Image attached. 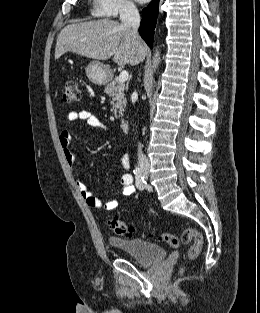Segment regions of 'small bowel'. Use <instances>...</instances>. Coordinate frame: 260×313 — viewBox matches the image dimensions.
Wrapping results in <instances>:
<instances>
[{"mask_svg": "<svg viewBox=\"0 0 260 313\" xmlns=\"http://www.w3.org/2000/svg\"><path fill=\"white\" fill-rule=\"evenodd\" d=\"M69 121L81 120L85 121L89 126L107 131L108 128L101 122V120L90 113L87 110L72 111L68 115ZM72 140V131L64 129L59 134V143L65 158V161L71 170L73 176L76 178L77 189L86 202V204L94 209H104L112 211L117 208L119 202L117 199H110L103 202L101 199L96 197L92 191H90L87 185L79 179V172L76 166L73 150L70 146ZM120 164L124 169L120 177V191L123 196H131L135 193V187L133 184V177L129 173L130 160L127 154H122L119 158Z\"/></svg>", "mask_w": 260, "mask_h": 313, "instance_id": "1", "label": "small bowel"}]
</instances>
